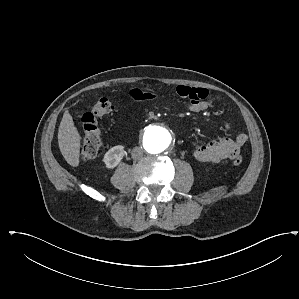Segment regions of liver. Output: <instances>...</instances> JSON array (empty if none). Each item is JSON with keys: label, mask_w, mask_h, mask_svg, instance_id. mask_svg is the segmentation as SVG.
Returning a JSON list of instances; mask_svg holds the SVG:
<instances>
[{"label": "liver", "mask_w": 299, "mask_h": 299, "mask_svg": "<svg viewBox=\"0 0 299 299\" xmlns=\"http://www.w3.org/2000/svg\"><path fill=\"white\" fill-rule=\"evenodd\" d=\"M58 145L64 159L72 167L79 165L81 137L69 111L64 112L58 130Z\"/></svg>", "instance_id": "liver-1"}]
</instances>
